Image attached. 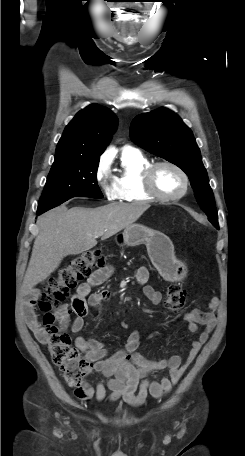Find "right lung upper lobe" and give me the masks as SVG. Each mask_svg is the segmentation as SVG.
Here are the masks:
<instances>
[{"mask_svg":"<svg viewBox=\"0 0 245 456\" xmlns=\"http://www.w3.org/2000/svg\"><path fill=\"white\" fill-rule=\"evenodd\" d=\"M117 124L118 118L111 110L98 104L87 106L66 126L56 147L54 163L99 158Z\"/></svg>","mask_w":245,"mask_h":456,"instance_id":"right-lung-upper-lobe-1","label":"right lung upper lobe"}]
</instances>
